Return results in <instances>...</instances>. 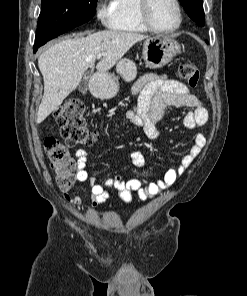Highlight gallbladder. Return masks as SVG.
I'll use <instances>...</instances> for the list:
<instances>
[{
  "mask_svg": "<svg viewBox=\"0 0 247 296\" xmlns=\"http://www.w3.org/2000/svg\"><path fill=\"white\" fill-rule=\"evenodd\" d=\"M88 79H89V75L85 74L83 80L80 82L79 86H78V90L79 92L85 94L88 90Z\"/></svg>",
  "mask_w": 247,
  "mask_h": 296,
  "instance_id": "bac80fb5",
  "label": "gallbladder"
}]
</instances>
